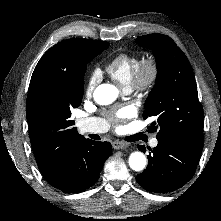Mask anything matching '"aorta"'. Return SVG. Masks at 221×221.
Returning a JSON list of instances; mask_svg holds the SVG:
<instances>
[{
	"label": "aorta",
	"instance_id": "aorta-1",
	"mask_svg": "<svg viewBox=\"0 0 221 221\" xmlns=\"http://www.w3.org/2000/svg\"><path fill=\"white\" fill-rule=\"evenodd\" d=\"M118 89L111 84H101L94 91V100L100 105L113 103L118 96ZM129 166L134 171H142L146 167V157L140 151L129 156Z\"/></svg>",
	"mask_w": 221,
	"mask_h": 221
}]
</instances>
